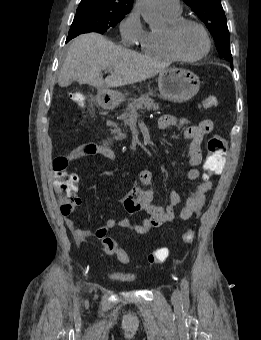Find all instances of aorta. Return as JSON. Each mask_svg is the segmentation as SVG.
Segmentation results:
<instances>
[{
  "label": "aorta",
  "mask_w": 261,
  "mask_h": 340,
  "mask_svg": "<svg viewBox=\"0 0 261 340\" xmlns=\"http://www.w3.org/2000/svg\"><path fill=\"white\" fill-rule=\"evenodd\" d=\"M137 7L147 23L156 24L161 21L158 0H137Z\"/></svg>",
  "instance_id": "aorta-1"
}]
</instances>
